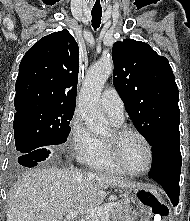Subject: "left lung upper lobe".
Segmentation results:
<instances>
[{
  "mask_svg": "<svg viewBox=\"0 0 190 221\" xmlns=\"http://www.w3.org/2000/svg\"><path fill=\"white\" fill-rule=\"evenodd\" d=\"M112 58L113 84L148 143L180 134L179 92L167 58L132 39L115 42Z\"/></svg>",
  "mask_w": 190,
  "mask_h": 221,
  "instance_id": "left-lung-upper-lobe-1",
  "label": "left lung upper lobe"
}]
</instances>
